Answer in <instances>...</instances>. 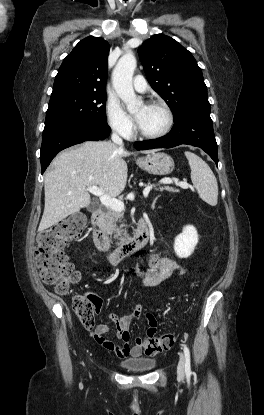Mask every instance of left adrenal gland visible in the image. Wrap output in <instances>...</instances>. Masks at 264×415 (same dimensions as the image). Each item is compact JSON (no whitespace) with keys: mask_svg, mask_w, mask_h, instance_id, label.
<instances>
[{"mask_svg":"<svg viewBox=\"0 0 264 415\" xmlns=\"http://www.w3.org/2000/svg\"><path fill=\"white\" fill-rule=\"evenodd\" d=\"M158 198H159V196H157V197L154 198L153 203H152V206H151L152 209L155 208V204H156V201H157Z\"/></svg>","mask_w":264,"mask_h":415,"instance_id":"1","label":"left adrenal gland"}]
</instances>
